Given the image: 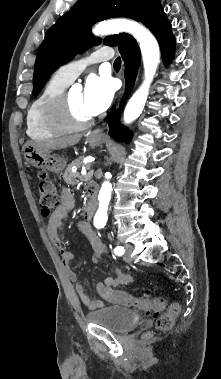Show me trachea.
I'll return each instance as SVG.
<instances>
[{
    "label": "trachea",
    "mask_w": 221,
    "mask_h": 379,
    "mask_svg": "<svg viewBox=\"0 0 221 379\" xmlns=\"http://www.w3.org/2000/svg\"><path fill=\"white\" fill-rule=\"evenodd\" d=\"M114 67L115 68L121 67V58L120 57L116 58V60L114 61Z\"/></svg>",
    "instance_id": "obj_1"
}]
</instances>
